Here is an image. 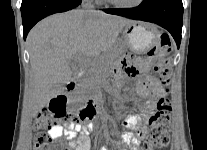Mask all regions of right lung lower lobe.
<instances>
[{
    "mask_svg": "<svg viewBox=\"0 0 207 150\" xmlns=\"http://www.w3.org/2000/svg\"><path fill=\"white\" fill-rule=\"evenodd\" d=\"M80 3L81 0H22L21 14L24 40L30 29L39 20L54 13L71 10Z\"/></svg>",
    "mask_w": 207,
    "mask_h": 150,
    "instance_id": "1",
    "label": "right lung lower lobe"
}]
</instances>
